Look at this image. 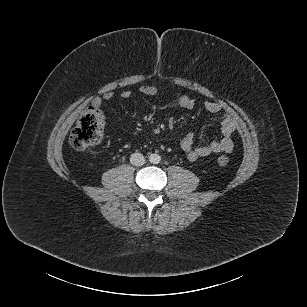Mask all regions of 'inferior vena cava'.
I'll list each match as a JSON object with an SVG mask.
<instances>
[{
    "mask_svg": "<svg viewBox=\"0 0 307 307\" xmlns=\"http://www.w3.org/2000/svg\"><path fill=\"white\" fill-rule=\"evenodd\" d=\"M130 162L134 166H142L145 164V158L141 153H133L130 157Z\"/></svg>",
    "mask_w": 307,
    "mask_h": 307,
    "instance_id": "602c4592",
    "label": "inferior vena cava"
}]
</instances>
